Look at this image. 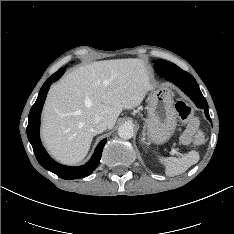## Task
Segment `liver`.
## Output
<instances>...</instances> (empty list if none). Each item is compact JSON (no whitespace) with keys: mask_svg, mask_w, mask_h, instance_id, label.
<instances>
[{"mask_svg":"<svg viewBox=\"0 0 234 234\" xmlns=\"http://www.w3.org/2000/svg\"><path fill=\"white\" fill-rule=\"evenodd\" d=\"M150 90L138 59L97 61L81 66L54 84L43 108L42 140L59 162L74 165L87 155L96 117L112 129L123 109H132Z\"/></svg>","mask_w":234,"mask_h":234,"instance_id":"liver-1","label":"liver"}]
</instances>
